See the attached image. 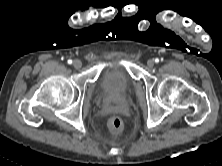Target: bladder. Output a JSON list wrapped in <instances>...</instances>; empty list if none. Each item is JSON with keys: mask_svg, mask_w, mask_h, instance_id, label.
<instances>
[{"mask_svg": "<svg viewBox=\"0 0 222 166\" xmlns=\"http://www.w3.org/2000/svg\"><path fill=\"white\" fill-rule=\"evenodd\" d=\"M102 100L112 103L123 101L129 95L131 78L122 68L104 70L97 80Z\"/></svg>", "mask_w": 222, "mask_h": 166, "instance_id": "bladder-1", "label": "bladder"}]
</instances>
